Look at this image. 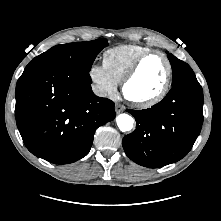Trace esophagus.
Segmentation results:
<instances>
[{
	"mask_svg": "<svg viewBox=\"0 0 221 221\" xmlns=\"http://www.w3.org/2000/svg\"><path fill=\"white\" fill-rule=\"evenodd\" d=\"M124 110H125V106H124V105H122V104H120V103H116V104H115V112H116L117 114L123 112Z\"/></svg>",
	"mask_w": 221,
	"mask_h": 221,
	"instance_id": "34e87169",
	"label": "esophagus"
}]
</instances>
